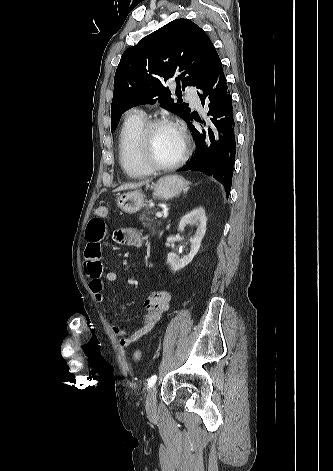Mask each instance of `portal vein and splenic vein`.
Masks as SVG:
<instances>
[{"mask_svg": "<svg viewBox=\"0 0 333 471\" xmlns=\"http://www.w3.org/2000/svg\"><path fill=\"white\" fill-rule=\"evenodd\" d=\"M156 217H157V218H162V217H163V214H162L161 212H157V213H156Z\"/></svg>", "mask_w": 333, "mask_h": 471, "instance_id": "18ae733b", "label": "portal vein and splenic vein"}]
</instances>
